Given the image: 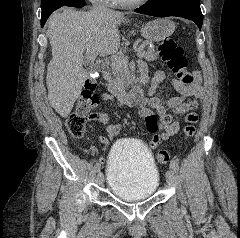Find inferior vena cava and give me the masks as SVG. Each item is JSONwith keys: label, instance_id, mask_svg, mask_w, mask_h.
I'll return each instance as SVG.
<instances>
[{"label": "inferior vena cava", "instance_id": "602c4592", "mask_svg": "<svg viewBox=\"0 0 240 238\" xmlns=\"http://www.w3.org/2000/svg\"><path fill=\"white\" fill-rule=\"evenodd\" d=\"M92 4H93V7H92L93 13H102L109 10L104 4L103 0H92Z\"/></svg>", "mask_w": 240, "mask_h": 238}]
</instances>
